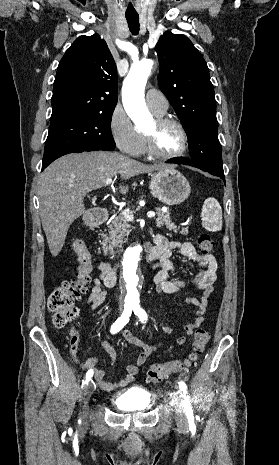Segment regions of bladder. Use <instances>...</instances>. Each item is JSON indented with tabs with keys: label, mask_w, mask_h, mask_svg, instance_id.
I'll list each match as a JSON object with an SVG mask.
<instances>
[{
	"label": "bladder",
	"mask_w": 279,
	"mask_h": 465,
	"mask_svg": "<svg viewBox=\"0 0 279 465\" xmlns=\"http://www.w3.org/2000/svg\"><path fill=\"white\" fill-rule=\"evenodd\" d=\"M113 406L123 412H146L153 399L150 392L141 386H132L117 393L112 399Z\"/></svg>",
	"instance_id": "obj_1"
}]
</instances>
